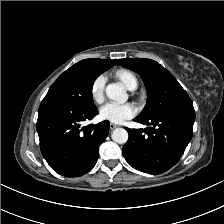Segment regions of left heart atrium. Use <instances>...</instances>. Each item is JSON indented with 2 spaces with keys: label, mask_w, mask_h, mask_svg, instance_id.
<instances>
[{
  "label": "left heart atrium",
  "mask_w": 224,
  "mask_h": 224,
  "mask_svg": "<svg viewBox=\"0 0 224 224\" xmlns=\"http://www.w3.org/2000/svg\"><path fill=\"white\" fill-rule=\"evenodd\" d=\"M135 114L136 109L131 103L108 102L100 109V116L113 123H122Z\"/></svg>",
  "instance_id": "1"
}]
</instances>
